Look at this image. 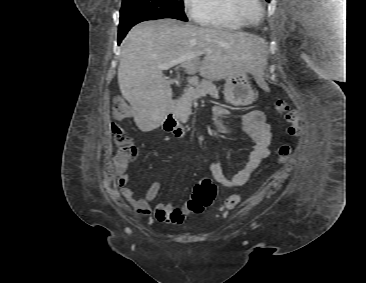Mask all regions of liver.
Wrapping results in <instances>:
<instances>
[{"mask_svg":"<svg viewBox=\"0 0 366 283\" xmlns=\"http://www.w3.org/2000/svg\"><path fill=\"white\" fill-rule=\"evenodd\" d=\"M199 51H207L202 61ZM177 59L186 73L217 81L234 72H249L260 81L266 65L263 41L252 34L172 18L135 25L121 44L118 83L143 132L158 128L172 107L170 82L159 65Z\"/></svg>","mask_w":366,"mask_h":283,"instance_id":"obj_1","label":"liver"}]
</instances>
